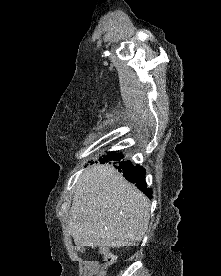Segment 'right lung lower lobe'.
<instances>
[{
    "mask_svg": "<svg viewBox=\"0 0 221 276\" xmlns=\"http://www.w3.org/2000/svg\"><path fill=\"white\" fill-rule=\"evenodd\" d=\"M119 172L131 183L135 184L148 198H152V189L147 188L145 182L146 169L142 166H134L130 161H120L115 166Z\"/></svg>",
    "mask_w": 221,
    "mask_h": 276,
    "instance_id": "obj_1",
    "label": "right lung lower lobe"
}]
</instances>
